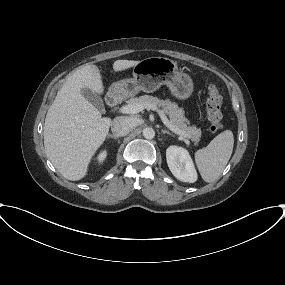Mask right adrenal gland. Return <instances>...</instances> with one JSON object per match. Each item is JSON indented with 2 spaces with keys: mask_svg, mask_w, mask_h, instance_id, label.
Listing matches in <instances>:
<instances>
[{
  "mask_svg": "<svg viewBox=\"0 0 285 285\" xmlns=\"http://www.w3.org/2000/svg\"><path fill=\"white\" fill-rule=\"evenodd\" d=\"M107 138H111V139H114V140H119L115 135H113V134H109L108 136H107Z\"/></svg>",
  "mask_w": 285,
  "mask_h": 285,
  "instance_id": "1",
  "label": "right adrenal gland"
}]
</instances>
